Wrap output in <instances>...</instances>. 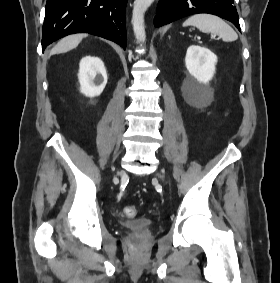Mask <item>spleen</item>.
I'll list each match as a JSON object with an SVG mask.
<instances>
[{"instance_id": "obj_1", "label": "spleen", "mask_w": 280, "mask_h": 283, "mask_svg": "<svg viewBox=\"0 0 280 283\" xmlns=\"http://www.w3.org/2000/svg\"><path fill=\"white\" fill-rule=\"evenodd\" d=\"M193 26L205 33L218 35L224 42L237 40V33L221 18L210 14H196L183 23V27Z\"/></svg>"}]
</instances>
